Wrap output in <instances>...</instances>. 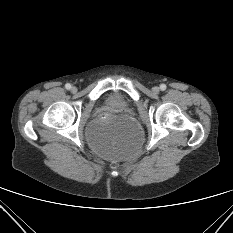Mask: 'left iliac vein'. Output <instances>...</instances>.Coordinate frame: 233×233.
<instances>
[{"mask_svg": "<svg viewBox=\"0 0 233 233\" xmlns=\"http://www.w3.org/2000/svg\"><path fill=\"white\" fill-rule=\"evenodd\" d=\"M152 91H153V93L158 94L159 91H160V88L155 86V87L152 88Z\"/></svg>", "mask_w": 233, "mask_h": 233, "instance_id": "left-iliac-vein-1", "label": "left iliac vein"}]
</instances>
